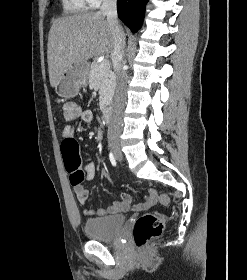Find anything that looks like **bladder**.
I'll return each instance as SVG.
<instances>
[{
	"label": "bladder",
	"instance_id": "obj_1",
	"mask_svg": "<svg viewBox=\"0 0 247 280\" xmlns=\"http://www.w3.org/2000/svg\"><path fill=\"white\" fill-rule=\"evenodd\" d=\"M125 223L123 215L91 218L84 223V234L87 238L97 241H113L121 233Z\"/></svg>",
	"mask_w": 247,
	"mask_h": 280
}]
</instances>
